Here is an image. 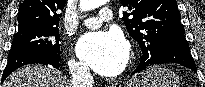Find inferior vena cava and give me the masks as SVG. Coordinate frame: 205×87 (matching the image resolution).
Wrapping results in <instances>:
<instances>
[{
	"label": "inferior vena cava",
	"instance_id": "602c4592",
	"mask_svg": "<svg viewBox=\"0 0 205 87\" xmlns=\"http://www.w3.org/2000/svg\"><path fill=\"white\" fill-rule=\"evenodd\" d=\"M72 87H93V76L86 64H76L71 67Z\"/></svg>",
	"mask_w": 205,
	"mask_h": 87
}]
</instances>
